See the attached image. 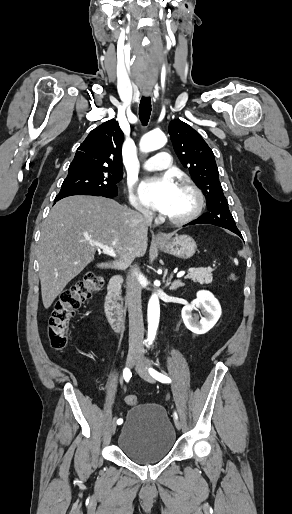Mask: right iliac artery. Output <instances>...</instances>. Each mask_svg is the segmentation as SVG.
<instances>
[{"label": "right iliac artery", "mask_w": 292, "mask_h": 514, "mask_svg": "<svg viewBox=\"0 0 292 514\" xmlns=\"http://www.w3.org/2000/svg\"><path fill=\"white\" fill-rule=\"evenodd\" d=\"M123 377H124V380H125L126 382H129L130 378L132 377V373H131V371H130V369H129V368H125V369L123 370ZM122 423H123V419H122V418H119V419L117 420V424H118V425H120V424H122Z\"/></svg>", "instance_id": "right-iliac-artery-1"}]
</instances>
